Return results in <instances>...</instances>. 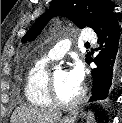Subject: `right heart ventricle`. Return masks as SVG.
Listing matches in <instances>:
<instances>
[{
  "label": "right heart ventricle",
  "instance_id": "1",
  "mask_svg": "<svg viewBox=\"0 0 122 123\" xmlns=\"http://www.w3.org/2000/svg\"><path fill=\"white\" fill-rule=\"evenodd\" d=\"M50 61V58L43 57L37 60L27 72L24 93L26 99L35 106L48 107L53 104L48 95Z\"/></svg>",
  "mask_w": 122,
  "mask_h": 123
}]
</instances>
